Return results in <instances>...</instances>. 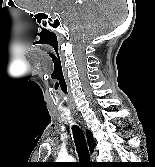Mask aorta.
<instances>
[{
    "label": "aorta",
    "instance_id": "762f6f07",
    "mask_svg": "<svg viewBox=\"0 0 155 167\" xmlns=\"http://www.w3.org/2000/svg\"><path fill=\"white\" fill-rule=\"evenodd\" d=\"M57 160L61 162H70L73 158L68 155H60Z\"/></svg>",
    "mask_w": 155,
    "mask_h": 167
}]
</instances>
